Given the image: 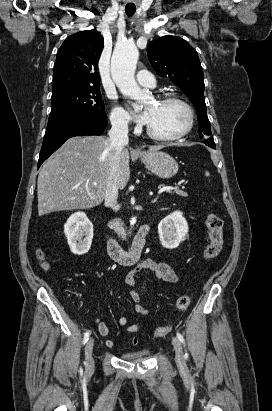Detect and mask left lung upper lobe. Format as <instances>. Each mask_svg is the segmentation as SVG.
Instances as JSON below:
<instances>
[{
  "instance_id": "left-lung-upper-lobe-1",
  "label": "left lung upper lobe",
  "mask_w": 272,
  "mask_h": 411,
  "mask_svg": "<svg viewBox=\"0 0 272 411\" xmlns=\"http://www.w3.org/2000/svg\"><path fill=\"white\" fill-rule=\"evenodd\" d=\"M147 54L157 74L171 79L195 106L200 136H211L203 69L196 50L182 38L163 36L149 43Z\"/></svg>"
}]
</instances>
